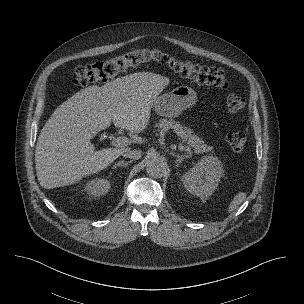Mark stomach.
I'll return each instance as SVG.
<instances>
[{
	"instance_id": "obj_1",
	"label": "stomach",
	"mask_w": 304,
	"mask_h": 304,
	"mask_svg": "<svg viewBox=\"0 0 304 304\" xmlns=\"http://www.w3.org/2000/svg\"><path fill=\"white\" fill-rule=\"evenodd\" d=\"M197 101L196 92L188 86H179L170 92L157 96L153 107L160 116L173 118L183 110L193 106Z\"/></svg>"
}]
</instances>
